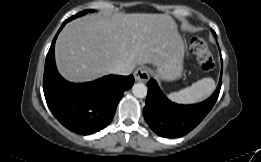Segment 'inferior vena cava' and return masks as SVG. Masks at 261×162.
Here are the masks:
<instances>
[{
  "instance_id": "602c4592",
  "label": "inferior vena cava",
  "mask_w": 261,
  "mask_h": 162,
  "mask_svg": "<svg viewBox=\"0 0 261 162\" xmlns=\"http://www.w3.org/2000/svg\"><path fill=\"white\" fill-rule=\"evenodd\" d=\"M133 69H134V67H132V66L117 65L112 68V73L127 76V75L131 74Z\"/></svg>"
}]
</instances>
